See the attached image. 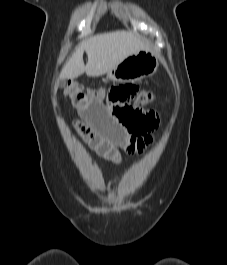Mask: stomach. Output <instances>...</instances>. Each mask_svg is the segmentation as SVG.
I'll use <instances>...</instances> for the list:
<instances>
[{
    "mask_svg": "<svg viewBox=\"0 0 227 265\" xmlns=\"http://www.w3.org/2000/svg\"><path fill=\"white\" fill-rule=\"evenodd\" d=\"M159 66L157 57L149 49L133 53L114 69L106 73V79L125 83L139 81L156 73Z\"/></svg>",
    "mask_w": 227,
    "mask_h": 265,
    "instance_id": "1",
    "label": "stomach"
}]
</instances>
